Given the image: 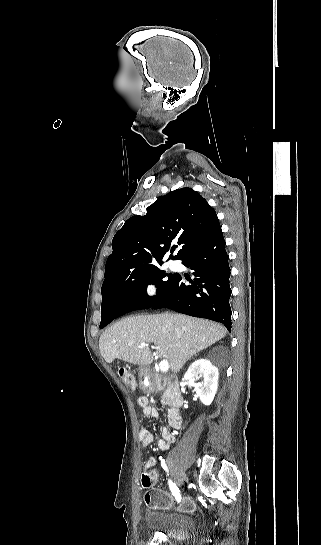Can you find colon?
<instances>
[{
  "instance_id": "5ec220e1",
  "label": "colon",
  "mask_w": 321,
  "mask_h": 545,
  "mask_svg": "<svg viewBox=\"0 0 321 545\" xmlns=\"http://www.w3.org/2000/svg\"><path fill=\"white\" fill-rule=\"evenodd\" d=\"M118 374L130 390L135 389V379L128 369L121 367ZM141 481L144 488H149L153 483L148 473L142 475ZM144 500L147 506L164 510L178 508L182 511H192L195 508L191 499L183 497L180 501H176L170 494L158 489L148 491Z\"/></svg>"
}]
</instances>
